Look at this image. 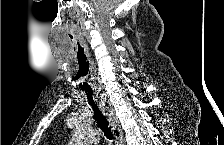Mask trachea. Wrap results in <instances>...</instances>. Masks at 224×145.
I'll return each mask as SVG.
<instances>
[{"instance_id":"3493384b","label":"trachea","mask_w":224,"mask_h":145,"mask_svg":"<svg viewBox=\"0 0 224 145\" xmlns=\"http://www.w3.org/2000/svg\"><path fill=\"white\" fill-rule=\"evenodd\" d=\"M77 55H81L80 53V48L78 45V53ZM79 60V67H78V78L82 81L83 86L81 85V90L85 92L87 99L89 101V104L91 105L94 114H95V119L100 126L101 130L103 131L104 135L106 136L107 139L112 140L113 135L111 132V129L108 126V121L106 117L103 115L101 110L99 109V106L97 102L94 100V92L91 88L90 81H89V64L85 58H82Z\"/></svg>"}]
</instances>
